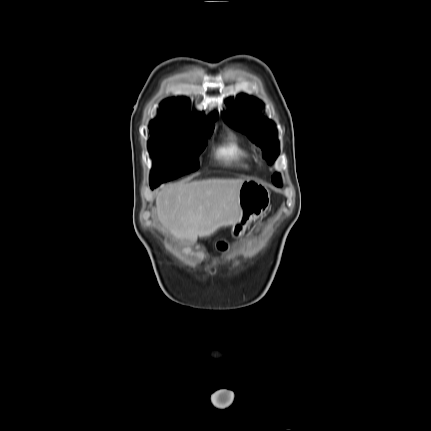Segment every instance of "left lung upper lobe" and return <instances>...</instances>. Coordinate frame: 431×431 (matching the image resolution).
Masks as SVG:
<instances>
[{
  "mask_svg": "<svg viewBox=\"0 0 431 431\" xmlns=\"http://www.w3.org/2000/svg\"><path fill=\"white\" fill-rule=\"evenodd\" d=\"M229 105L230 111L222 113L224 121L260 146L264 157L272 164L279 154L278 140L274 123L262 115L261 102L253 97L239 95ZM272 182L280 186V176L274 174Z\"/></svg>",
  "mask_w": 431,
  "mask_h": 431,
  "instance_id": "5c2ea615",
  "label": "left lung upper lobe"
}]
</instances>
